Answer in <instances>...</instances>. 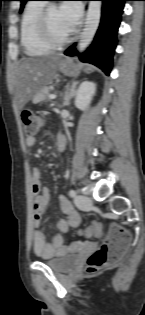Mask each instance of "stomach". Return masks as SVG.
<instances>
[{
    "label": "stomach",
    "instance_id": "obj_1",
    "mask_svg": "<svg viewBox=\"0 0 145 315\" xmlns=\"http://www.w3.org/2000/svg\"><path fill=\"white\" fill-rule=\"evenodd\" d=\"M70 69H75V72H76V68H75L74 65H73V66H70ZM86 71H89V69H86Z\"/></svg>",
    "mask_w": 145,
    "mask_h": 315
}]
</instances>
